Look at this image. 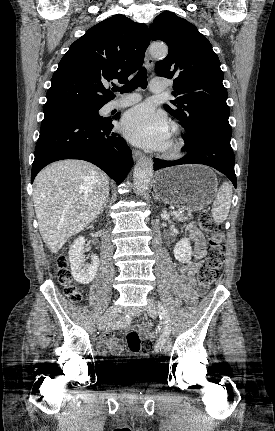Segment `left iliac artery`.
Instances as JSON below:
<instances>
[{"instance_id":"1","label":"left iliac artery","mask_w":275,"mask_h":431,"mask_svg":"<svg viewBox=\"0 0 275 431\" xmlns=\"http://www.w3.org/2000/svg\"><path fill=\"white\" fill-rule=\"evenodd\" d=\"M158 307H159V317L161 320L164 321V331L155 345V351L156 352H159L162 350V347H163L165 341L169 338L170 333H171L170 317L161 303L158 304Z\"/></svg>"}]
</instances>
